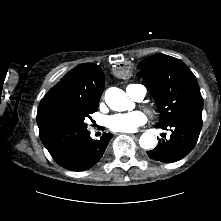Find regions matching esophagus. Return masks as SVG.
Returning <instances> with one entry per match:
<instances>
[{
    "instance_id": "1",
    "label": "esophagus",
    "mask_w": 221,
    "mask_h": 221,
    "mask_svg": "<svg viewBox=\"0 0 221 221\" xmlns=\"http://www.w3.org/2000/svg\"><path fill=\"white\" fill-rule=\"evenodd\" d=\"M122 134H124L125 136L129 135L131 137H135V135H133L130 131L129 132L125 131L124 133H122L120 131L119 133H116L115 135H120L121 136Z\"/></svg>"
}]
</instances>
